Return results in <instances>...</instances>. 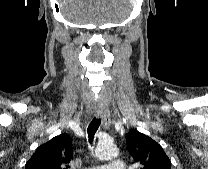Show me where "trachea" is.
I'll return each mask as SVG.
<instances>
[{"label": "trachea", "instance_id": "trachea-1", "mask_svg": "<svg viewBox=\"0 0 208 169\" xmlns=\"http://www.w3.org/2000/svg\"><path fill=\"white\" fill-rule=\"evenodd\" d=\"M101 124V119H98L96 117L93 118L91 123L88 126L87 132L89 137V142L92 143L94 139V135L96 131L98 130L99 126Z\"/></svg>", "mask_w": 208, "mask_h": 169}]
</instances>
